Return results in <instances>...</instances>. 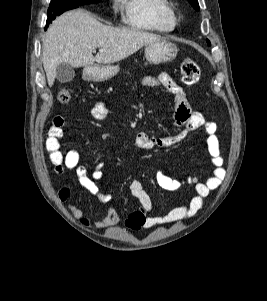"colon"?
<instances>
[{"label":"colon","instance_id":"colon-1","mask_svg":"<svg viewBox=\"0 0 267 301\" xmlns=\"http://www.w3.org/2000/svg\"><path fill=\"white\" fill-rule=\"evenodd\" d=\"M180 74L184 84L188 86L194 85L199 80V67L193 59L185 58L181 63ZM57 98L62 104L69 103L72 99L70 88L62 87L58 92Z\"/></svg>","mask_w":267,"mask_h":301}]
</instances>
